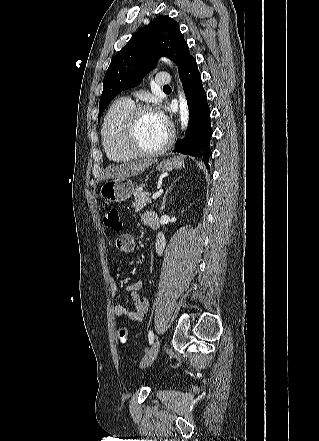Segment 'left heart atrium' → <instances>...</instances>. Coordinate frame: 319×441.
Masks as SVG:
<instances>
[{
  "mask_svg": "<svg viewBox=\"0 0 319 441\" xmlns=\"http://www.w3.org/2000/svg\"><path fill=\"white\" fill-rule=\"evenodd\" d=\"M156 117L158 118V120L165 126H167L168 124V120L167 117L165 116V114L163 112H155Z\"/></svg>",
  "mask_w": 319,
  "mask_h": 441,
  "instance_id": "1",
  "label": "left heart atrium"
}]
</instances>
